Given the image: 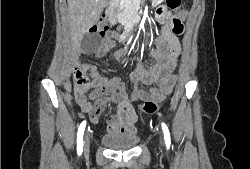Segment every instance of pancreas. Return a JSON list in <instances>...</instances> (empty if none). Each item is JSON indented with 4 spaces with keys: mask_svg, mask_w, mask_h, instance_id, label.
<instances>
[{
    "mask_svg": "<svg viewBox=\"0 0 250 169\" xmlns=\"http://www.w3.org/2000/svg\"><path fill=\"white\" fill-rule=\"evenodd\" d=\"M127 10H135L136 0H125Z\"/></svg>",
    "mask_w": 250,
    "mask_h": 169,
    "instance_id": "cf45deb5",
    "label": "pancreas"
}]
</instances>
